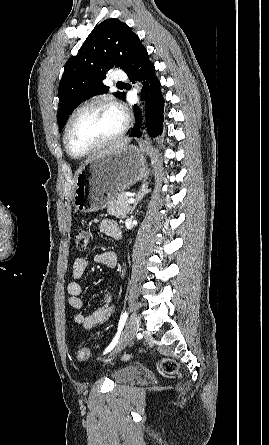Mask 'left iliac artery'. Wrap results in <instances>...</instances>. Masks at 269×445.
I'll return each mask as SVG.
<instances>
[{"instance_id":"1","label":"left iliac artery","mask_w":269,"mask_h":445,"mask_svg":"<svg viewBox=\"0 0 269 445\" xmlns=\"http://www.w3.org/2000/svg\"><path fill=\"white\" fill-rule=\"evenodd\" d=\"M127 315H128L127 312H124V313L121 315L120 320H119V325H118V331H117V334H116V336L114 337V339H113V341L111 342V344L106 348L104 354L110 352V351L115 347L116 343L118 342V339H119L120 333H121V331H122V328H123L124 325H125V322H126V319H127Z\"/></svg>"}]
</instances>
